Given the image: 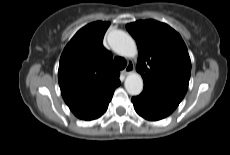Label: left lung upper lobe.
<instances>
[{
	"instance_id": "1",
	"label": "left lung upper lobe",
	"mask_w": 230,
	"mask_h": 155,
	"mask_svg": "<svg viewBox=\"0 0 230 155\" xmlns=\"http://www.w3.org/2000/svg\"><path fill=\"white\" fill-rule=\"evenodd\" d=\"M126 28L138 46L136 69L143 77L144 89L179 105L191 74L190 57L181 36L155 20L137 21Z\"/></svg>"
}]
</instances>
